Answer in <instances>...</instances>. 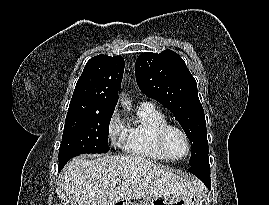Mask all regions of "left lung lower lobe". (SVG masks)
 Returning a JSON list of instances; mask_svg holds the SVG:
<instances>
[{"mask_svg":"<svg viewBox=\"0 0 269 205\" xmlns=\"http://www.w3.org/2000/svg\"><path fill=\"white\" fill-rule=\"evenodd\" d=\"M188 171L201 179L206 187L210 189L211 183L209 159L202 161L195 166L189 167Z\"/></svg>","mask_w":269,"mask_h":205,"instance_id":"left-lung-lower-lobe-1","label":"left lung lower lobe"}]
</instances>
